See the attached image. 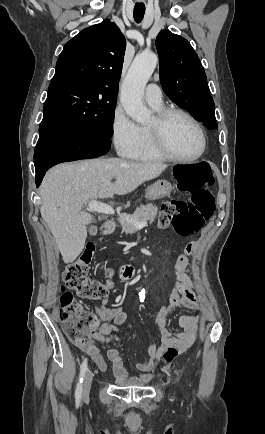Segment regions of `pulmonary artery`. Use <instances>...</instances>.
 Wrapping results in <instances>:
<instances>
[{
  "label": "pulmonary artery",
  "instance_id": "pulmonary-artery-1",
  "mask_svg": "<svg viewBox=\"0 0 265 434\" xmlns=\"http://www.w3.org/2000/svg\"><path fill=\"white\" fill-rule=\"evenodd\" d=\"M156 86L157 85L155 82H150L148 85V89L145 92L146 102L151 106L161 103V100L164 97L163 92L160 91L159 87Z\"/></svg>",
  "mask_w": 265,
  "mask_h": 434
}]
</instances>
